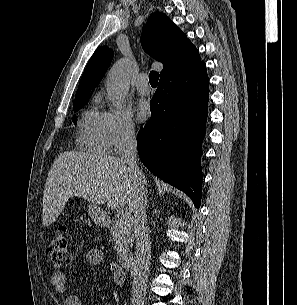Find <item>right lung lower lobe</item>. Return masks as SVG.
<instances>
[{"instance_id": "1", "label": "right lung lower lobe", "mask_w": 297, "mask_h": 305, "mask_svg": "<svg viewBox=\"0 0 297 305\" xmlns=\"http://www.w3.org/2000/svg\"><path fill=\"white\" fill-rule=\"evenodd\" d=\"M209 81L204 62L173 78L160 79L151 100V118L138 133L143 164L184 191L200 206L201 145L208 115Z\"/></svg>"}]
</instances>
